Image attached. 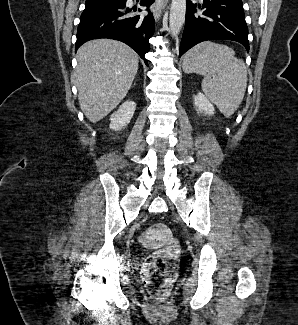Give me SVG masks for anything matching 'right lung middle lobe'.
Listing matches in <instances>:
<instances>
[{"label":"right lung middle lobe","instance_id":"right-lung-middle-lobe-1","mask_svg":"<svg viewBox=\"0 0 298 325\" xmlns=\"http://www.w3.org/2000/svg\"><path fill=\"white\" fill-rule=\"evenodd\" d=\"M117 0H86V5L110 3Z\"/></svg>","mask_w":298,"mask_h":325}]
</instances>
